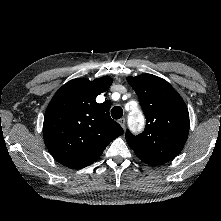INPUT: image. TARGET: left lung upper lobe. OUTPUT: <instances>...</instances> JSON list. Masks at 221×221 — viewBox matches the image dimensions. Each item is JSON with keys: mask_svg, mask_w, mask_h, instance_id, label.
Returning a JSON list of instances; mask_svg holds the SVG:
<instances>
[{"mask_svg": "<svg viewBox=\"0 0 221 221\" xmlns=\"http://www.w3.org/2000/svg\"><path fill=\"white\" fill-rule=\"evenodd\" d=\"M139 97L146 117L144 131L126 132V140L138 158L149 165H161L183 149L189 133V113L181 96L164 79L143 74L127 77Z\"/></svg>", "mask_w": 221, "mask_h": 221, "instance_id": "left-lung-upper-lobe-1", "label": "left lung upper lobe"}]
</instances>
